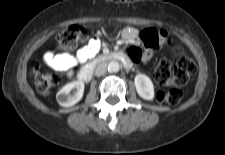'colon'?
Listing matches in <instances>:
<instances>
[{"instance_id":"1","label":"colon","mask_w":225,"mask_h":155,"mask_svg":"<svg viewBox=\"0 0 225 155\" xmlns=\"http://www.w3.org/2000/svg\"><path fill=\"white\" fill-rule=\"evenodd\" d=\"M81 33L82 29L78 26H69L63 29L56 37L58 47L66 51L75 49ZM140 39L145 48L152 49L166 41L167 34L162 30L149 28L142 31ZM173 53L179 57L176 63L164 59L159 62L155 70L156 81L169 87L168 89L159 90L156 98L159 102L168 105H176L180 102L182 98L180 87L187 84L191 75L196 71L195 62L184 55V51L180 46H175ZM129 55L135 63H140L144 59V54L138 46L131 47ZM35 73L36 87L42 94L49 93L59 83V78L56 75L43 73L39 66H36Z\"/></svg>"}]
</instances>
